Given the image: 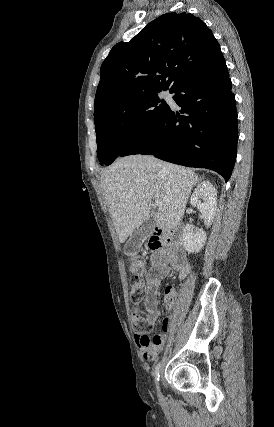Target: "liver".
Returning a JSON list of instances; mask_svg holds the SVG:
<instances>
[{"instance_id": "liver-1", "label": "liver", "mask_w": 274, "mask_h": 427, "mask_svg": "<svg viewBox=\"0 0 274 427\" xmlns=\"http://www.w3.org/2000/svg\"><path fill=\"white\" fill-rule=\"evenodd\" d=\"M108 208L123 243L150 217L152 200L162 202L154 221L173 229L183 217L187 200L200 182L193 170L161 162L153 156L118 158L101 176Z\"/></svg>"}]
</instances>
